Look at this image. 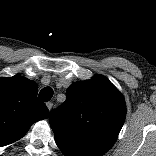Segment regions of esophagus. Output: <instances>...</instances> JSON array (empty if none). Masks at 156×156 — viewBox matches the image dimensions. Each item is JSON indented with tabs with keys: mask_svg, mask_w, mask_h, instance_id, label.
I'll use <instances>...</instances> for the list:
<instances>
[{
	"mask_svg": "<svg viewBox=\"0 0 156 156\" xmlns=\"http://www.w3.org/2000/svg\"><path fill=\"white\" fill-rule=\"evenodd\" d=\"M46 106H47V108H48L49 110H51L53 104H52L51 102H47V103H46Z\"/></svg>",
	"mask_w": 156,
	"mask_h": 156,
	"instance_id": "1",
	"label": "esophagus"
}]
</instances>
